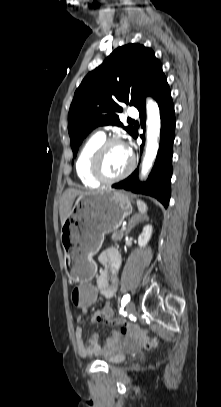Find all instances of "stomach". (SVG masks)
I'll use <instances>...</instances> for the list:
<instances>
[{
    "label": "stomach",
    "mask_w": 221,
    "mask_h": 407,
    "mask_svg": "<svg viewBox=\"0 0 221 407\" xmlns=\"http://www.w3.org/2000/svg\"><path fill=\"white\" fill-rule=\"evenodd\" d=\"M132 212L129 196L112 189L79 196L61 227L64 263L74 282L89 281L95 274L93 256L104 236L116 231Z\"/></svg>",
    "instance_id": "0dacf381"
}]
</instances>
